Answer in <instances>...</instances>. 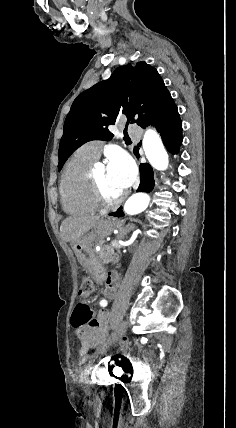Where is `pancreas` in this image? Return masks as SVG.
<instances>
[{"label": "pancreas", "mask_w": 236, "mask_h": 428, "mask_svg": "<svg viewBox=\"0 0 236 428\" xmlns=\"http://www.w3.org/2000/svg\"><path fill=\"white\" fill-rule=\"evenodd\" d=\"M99 260H102L103 264H109L112 262V258L115 254L112 246H101L99 252H96Z\"/></svg>", "instance_id": "cf45deb5"}]
</instances>
